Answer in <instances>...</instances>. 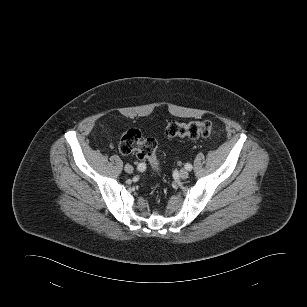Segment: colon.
Listing matches in <instances>:
<instances>
[{
  "mask_svg": "<svg viewBox=\"0 0 307 307\" xmlns=\"http://www.w3.org/2000/svg\"><path fill=\"white\" fill-rule=\"evenodd\" d=\"M214 132V125L210 121H191L188 123L170 121L165 127L166 135L170 137L201 138L209 137ZM120 153L128 155L134 153L137 158L149 161L157 170L159 167L156 156L157 142L153 138H144L136 129H130L119 138Z\"/></svg>",
  "mask_w": 307,
  "mask_h": 307,
  "instance_id": "colon-1",
  "label": "colon"
}]
</instances>
